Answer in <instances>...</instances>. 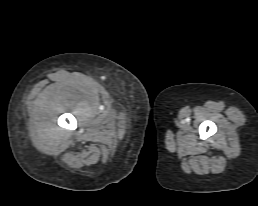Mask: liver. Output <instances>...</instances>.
I'll use <instances>...</instances> for the list:
<instances>
[{"mask_svg":"<svg viewBox=\"0 0 258 206\" xmlns=\"http://www.w3.org/2000/svg\"><path fill=\"white\" fill-rule=\"evenodd\" d=\"M48 92V88L43 91V95H46Z\"/></svg>","mask_w":258,"mask_h":206,"instance_id":"obj_1","label":"liver"}]
</instances>
